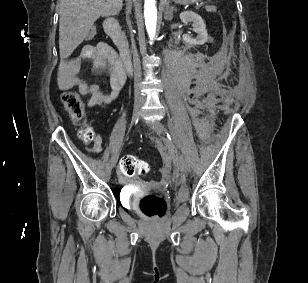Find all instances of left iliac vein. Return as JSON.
<instances>
[{
    "mask_svg": "<svg viewBox=\"0 0 308 283\" xmlns=\"http://www.w3.org/2000/svg\"><path fill=\"white\" fill-rule=\"evenodd\" d=\"M142 102H143V98H142ZM152 126H153V129L157 132L160 139L163 140L166 144H168L169 140L166 137L167 131L164 125L160 122H154ZM178 167L182 172L189 171V165L183 156L178 157Z\"/></svg>",
    "mask_w": 308,
    "mask_h": 283,
    "instance_id": "left-iliac-vein-1",
    "label": "left iliac vein"
}]
</instances>
